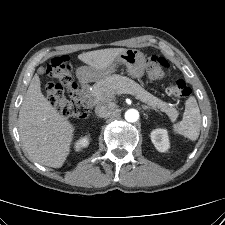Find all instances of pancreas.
Instances as JSON below:
<instances>
[{"label": "pancreas", "mask_w": 225, "mask_h": 225, "mask_svg": "<svg viewBox=\"0 0 225 225\" xmlns=\"http://www.w3.org/2000/svg\"><path fill=\"white\" fill-rule=\"evenodd\" d=\"M124 91L131 92L137 99L147 103L153 109L165 112L171 121L178 117V111L157 97L153 96L132 79L118 74L111 75L95 83L89 95L95 100H111Z\"/></svg>", "instance_id": "1"}]
</instances>
